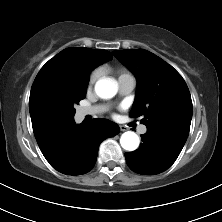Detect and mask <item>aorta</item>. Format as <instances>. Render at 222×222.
<instances>
[{
	"label": "aorta",
	"mask_w": 222,
	"mask_h": 222,
	"mask_svg": "<svg viewBox=\"0 0 222 222\" xmlns=\"http://www.w3.org/2000/svg\"><path fill=\"white\" fill-rule=\"evenodd\" d=\"M96 94L103 99H109L117 93V84L110 79H100L95 84ZM120 144L127 151H134L139 146V137L132 131H127L121 135Z\"/></svg>",
	"instance_id": "obj_1"
}]
</instances>
